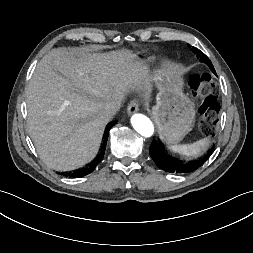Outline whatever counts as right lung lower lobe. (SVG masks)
<instances>
[{"label":"right lung lower lobe","instance_id":"1","mask_svg":"<svg viewBox=\"0 0 253 253\" xmlns=\"http://www.w3.org/2000/svg\"><path fill=\"white\" fill-rule=\"evenodd\" d=\"M112 125H110L108 128H107V131H106V135H105V139H104V144H103V148H102V153L100 154V158H99V162L103 159V155H104V152H105V148H106V144H107V139H108V133H109V130L111 129ZM98 163H96L97 165ZM96 165H92L90 166L89 168L85 169V170H82V171H77V172H74L72 174H69L68 176L69 177H82V176H85L89 173H91Z\"/></svg>","mask_w":253,"mask_h":253}]
</instances>
